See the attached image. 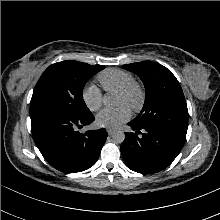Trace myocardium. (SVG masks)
<instances>
[{
  "instance_id": "obj_1",
  "label": "myocardium",
  "mask_w": 220,
  "mask_h": 220,
  "mask_svg": "<svg viewBox=\"0 0 220 220\" xmlns=\"http://www.w3.org/2000/svg\"><path fill=\"white\" fill-rule=\"evenodd\" d=\"M128 102V106L135 112L142 110L146 100V91L143 85L138 82H132L121 90L117 91Z\"/></svg>"
}]
</instances>
